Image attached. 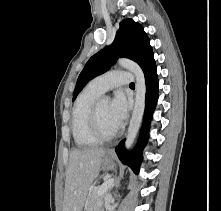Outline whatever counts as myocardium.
Wrapping results in <instances>:
<instances>
[{"label": "myocardium", "instance_id": "myocardium-1", "mask_svg": "<svg viewBox=\"0 0 221 211\" xmlns=\"http://www.w3.org/2000/svg\"><path fill=\"white\" fill-rule=\"evenodd\" d=\"M100 99H98L92 106L90 115H89V127L92 135L101 142L110 141L116 138L119 135V130L106 134L103 132L100 121H99V103Z\"/></svg>", "mask_w": 221, "mask_h": 211}]
</instances>
